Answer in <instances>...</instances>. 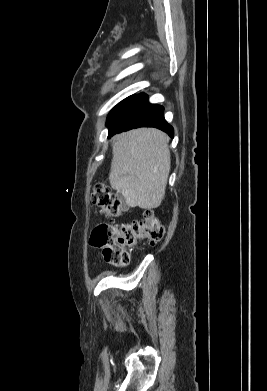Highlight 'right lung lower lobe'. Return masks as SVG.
<instances>
[{
    "instance_id": "right-lung-lower-lobe-1",
    "label": "right lung lower lobe",
    "mask_w": 267,
    "mask_h": 391,
    "mask_svg": "<svg viewBox=\"0 0 267 391\" xmlns=\"http://www.w3.org/2000/svg\"><path fill=\"white\" fill-rule=\"evenodd\" d=\"M164 108L150 104L145 94L133 96L109 121V136L138 127H155L173 138V127L163 116Z\"/></svg>"
}]
</instances>
